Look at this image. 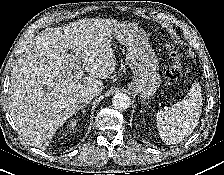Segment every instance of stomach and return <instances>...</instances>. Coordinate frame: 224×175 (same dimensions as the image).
<instances>
[{
	"label": "stomach",
	"instance_id": "1",
	"mask_svg": "<svg viewBox=\"0 0 224 175\" xmlns=\"http://www.w3.org/2000/svg\"><path fill=\"white\" fill-rule=\"evenodd\" d=\"M113 36L126 47V62L133 71L129 88L142 98L153 96L160 86L159 66L146 34L137 25L120 24Z\"/></svg>",
	"mask_w": 224,
	"mask_h": 175
}]
</instances>
